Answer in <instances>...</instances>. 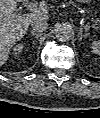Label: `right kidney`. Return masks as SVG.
Segmentation results:
<instances>
[{
  "mask_svg": "<svg viewBox=\"0 0 100 118\" xmlns=\"http://www.w3.org/2000/svg\"><path fill=\"white\" fill-rule=\"evenodd\" d=\"M23 48H24V45H23V44H21V43L17 44V45L14 46V48H13V54H14L15 56L20 55V53L22 52Z\"/></svg>",
  "mask_w": 100,
  "mask_h": 118,
  "instance_id": "ca27d5eb",
  "label": "right kidney"
}]
</instances>
